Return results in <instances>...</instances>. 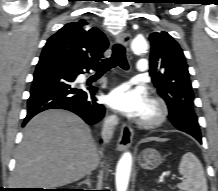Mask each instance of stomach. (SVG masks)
<instances>
[{
  "label": "stomach",
  "instance_id": "0dacf381",
  "mask_svg": "<svg viewBox=\"0 0 218 191\" xmlns=\"http://www.w3.org/2000/svg\"><path fill=\"white\" fill-rule=\"evenodd\" d=\"M163 162L161 154L153 149L147 148L143 150L138 157V164L146 170H154Z\"/></svg>",
  "mask_w": 218,
  "mask_h": 191
}]
</instances>
